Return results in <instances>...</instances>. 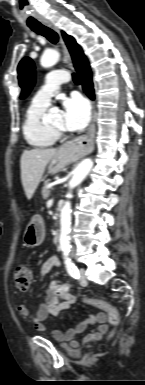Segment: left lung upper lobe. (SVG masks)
Returning <instances> with one entry per match:
<instances>
[{"label": "left lung upper lobe", "instance_id": "obj_1", "mask_svg": "<svg viewBox=\"0 0 145 385\" xmlns=\"http://www.w3.org/2000/svg\"><path fill=\"white\" fill-rule=\"evenodd\" d=\"M18 80L22 89L20 98L24 99L35 84V66L29 57L23 58L18 65Z\"/></svg>", "mask_w": 145, "mask_h": 385}]
</instances>
